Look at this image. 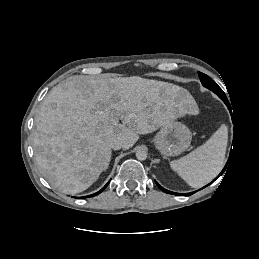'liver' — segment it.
<instances>
[{"instance_id": "liver-1", "label": "liver", "mask_w": 259, "mask_h": 259, "mask_svg": "<svg viewBox=\"0 0 259 259\" xmlns=\"http://www.w3.org/2000/svg\"><path fill=\"white\" fill-rule=\"evenodd\" d=\"M197 113L193 97L171 83L138 76H75L43 100L35 118V158L52 186L77 194L108 168L111 141L120 139L127 150L139 134Z\"/></svg>"}]
</instances>
